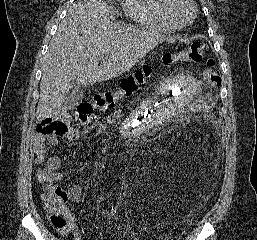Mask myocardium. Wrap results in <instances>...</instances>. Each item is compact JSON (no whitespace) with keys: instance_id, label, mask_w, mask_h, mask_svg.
Listing matches in <instances>:
<instances>
[{"instance_id":"f54148a6","label":"myocardium","mask_w":257,"mask_h":240,"mask_svg":"<svg viewBox=\"0 0 257 240\" xmlns=\"http://www.w3.org/2000/svg\"><path fill=\"white\" fill-rule=\"evenodd\" d=\"M188 2L190 3V5L192 7L191 17H190L189 21L186 22V23H178L177 21H175L173 19V17L171 16V14L169 12L170 0H160L161 13H162L163 17L165 18V20L169 24H171L174 28H185V27H187V26H189L190 24L193 23V21L196 17V14H197V5H196L194 0H188Z\"/></svg>"}]
</instances>
